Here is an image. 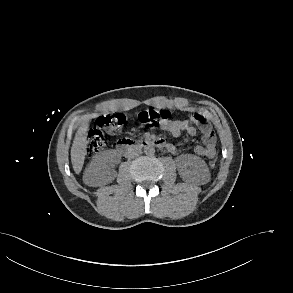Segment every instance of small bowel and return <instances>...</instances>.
<instances>
[{
	"label": "small bowel",
	"mask_w": 293,
	"mask_h": 293,
	"mask_svg": "<svg viewBox=\"0 0 293 293\" xmlns=\"http://www.w3.org/2000/svg\"><path fill=\"white\" fill-rule=\"evenodd\" d=\"M199 116L198 120H195L192 117V120L199 124L200 132L203 144L196 145L194 147V152L206 158H213L216 155V136L214 131L212 130L211 125L208 122V119L202 114H196ZM192 120H180V119H172L162 125V129L169 132L174 137H179L182 132L187 133L189 136L196 135V128L192 125ZM167 151L172 154H177V148L173 144H167Z\"/></svg>",
	"instance_id": "small-bowel-1"
}]
</instances>
